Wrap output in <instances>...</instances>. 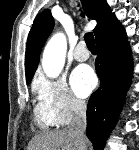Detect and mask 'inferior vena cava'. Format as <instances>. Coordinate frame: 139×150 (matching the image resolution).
<instances>
[{"instance_id": "inferior-vena-cava-1", "label": "inferior vena cava", "mask_w": 139, "mask_h": 150, "mask_svg": "<svg viewBox=\"0 0 139 150\" xmlns=\"http://www.w3.org/2000/svg\"><path fill=\"white\" fill-rule=\"evenodd\" d=\"M74 117L68 126L69 132L73 135L77 150H86V104L84 101L75 99L73 102Z\"/></svg>"}]
</instances>
